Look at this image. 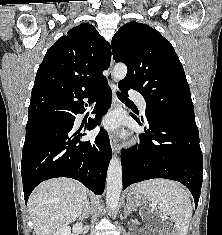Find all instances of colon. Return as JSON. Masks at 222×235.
<instances>
[{"label": "colon", "mask_w": 222, "mask_h": 235, "mask_svg": "<svg viewBox=\"0 0 222 235\" xmlns=\"http://www.w3.org/2000/svg\"><path fill=\"white\" fill-rule=\"evenodd\" d=\"M161 235H178L175 224L171 221H168L163 227Z\"/></svg>", "instance_id": "5ec220e1"}]
</instances>
